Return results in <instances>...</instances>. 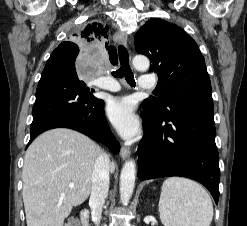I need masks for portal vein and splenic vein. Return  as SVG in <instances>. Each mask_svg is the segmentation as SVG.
Segmentation results:
<instances>
[{
    "label": "portal vein and splenic vein",
    "mask_w": 247,
    "mask_h": 226,
    "mask_svg": "<svg viewBox=\"0 0 247 226\" xmlns=\"http://www.w3.org/2000/svg\"><path fill=\"white\" fill-rule=\"evenodd\" d=\"M70 187H73V185H72V184H70Z\"/></svg>",
    "instance_id": "portal-vein-and-splenic-vein-1"
}]
</instances>
